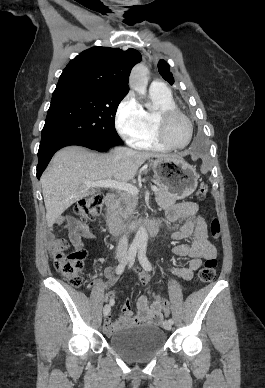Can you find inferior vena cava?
<instances>
[{"instance_id":"obj_1","label":"inferior vena cava","mask_w":265,"mask_h":388,"mask_svg":"<svg viewBox=\"0 0 265 388\" xmlns=\"http://www.w3.org/2000/svg\"><path fill=\"white\" fill-rule=\"evenodd\" d=\"M127 252H128V238L127 236H122L117 246L116 256L117 258H127Z\"/></svg>"}]
</instances>
